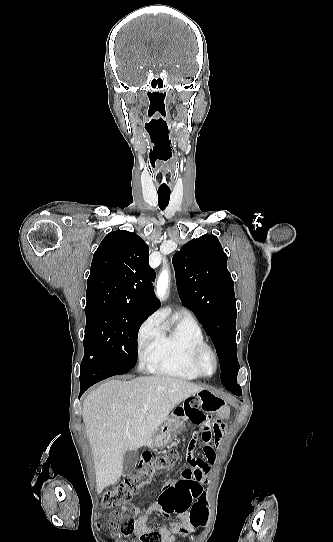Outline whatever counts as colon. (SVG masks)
I'll list each match as a JSON object with an SVG mask.
<instances>
[{"instance_id": "obj_1", "label": "colon", "mask_w": 333, "mask_h": 542, "mask_svg": "<svg viewBox=\"0 0 333 542\" xmlns=\"http://www.w3.org/2000/svg\"><path fill=\"white\" fill-rule=\"evenodd\" d=\"M143 452H147V449ZM178 461V454L176 452H169L161 459H156L154 465L156 467L166 470H171ZM211 469L214 467L215 462L213 459L208 458L203 462L202 458H191L189 465L183 468L182 479L177 483H171L170 489H162L159 496V513L165 518L169 519L171 516L182 515L184 510L188 511V516L184 517V522L187 525L199 524L204 519L202 516H206L207 509L203 505H196L198 503V495L206 494L208 486L206 483L192 484L191 476L197 481L205 478L204 468ZM145 473L142 477H135L132 474L128 475L116 488L107 492L103 497V505L105 507H112L109 509L108 514L111 518L112 524L118 523V516L122 522V531L125 535L132 532L134 525L130 522L132 514L135 513L137 506L135 502H128L138 491L139 487L148 482L153 468L149 466L144 469ZM122 508L118 509L117 506L122 505ZM207 522L214 520L212 517L205 519ZM105 522V519H102ZM99 536L101 539L106 540L109 536H113V533H109L108 530L103 529L100 531ZM146 539H140L141 542H162L159 539L157 531H148L145 535Z\"/></svg>"}]
</instances>
